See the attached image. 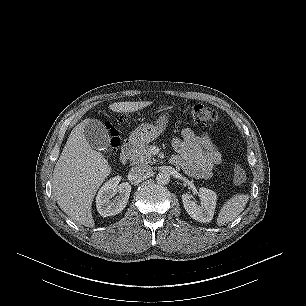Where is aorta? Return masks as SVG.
I'll return each mask as SVG.
<instances>
[{"mask_svg":"<svg viewBox=\"0 0 306 306\" xmlns=\"http://www.w3.org/2000/svg\"><path fill=\"white\" fill-rule=\"evenodd\" d=\"M156 180L159 184H167L170 181V174L167 171H161L157 174Z\"/></svg>","mask_w":306,"mask_h":306,"instance_id":"aorta-1","label":"aorta"}]
</instances>
